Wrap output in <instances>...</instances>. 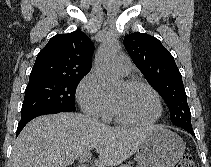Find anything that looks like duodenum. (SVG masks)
Listing matches in <instances>:
<instances>
[{"label":"duodenum","mask_w":211,"mask_h":167,"mask_svg":"<svg viewBox=\"0 0 211 167\" xmlns=\"http://www.w3.org/2000/svg\"><path fill=\"white\" fill-rule=\"evenodd\" d=\"M79 167H88V166H86V165H82V166H79Z\"/></svg>","instance_id":"obj_1"}]
</instances>
